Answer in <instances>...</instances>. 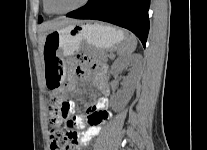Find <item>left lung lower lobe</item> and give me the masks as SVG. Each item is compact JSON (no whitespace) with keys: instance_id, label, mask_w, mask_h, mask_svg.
Listing matches in <instances>:
<instances>
[{"instance_id":"1","label":"left lung lower lobe","mask_w":207,"mask_h":150,"mask_svg":"<svg viewBox=\"0 0 207 150\" xmlns=\"http://www.w3.org/2000/svg\"><path fill=\"white\" fill-rule=\"evenodd\" d=\"M150 0H90L67 17L94 19L132 31L145 47L149 32Z\"/></svg>"}]
</instances>
